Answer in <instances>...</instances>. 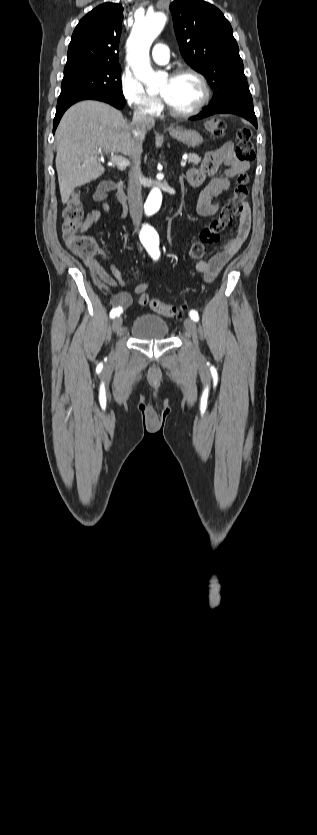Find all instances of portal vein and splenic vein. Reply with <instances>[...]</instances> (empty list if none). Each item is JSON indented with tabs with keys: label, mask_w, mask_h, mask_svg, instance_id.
Masks as SVG:
<instances>
[{
	"label": "portal vein and splenic vein",
	"mask_w": 317,
	"mask_h": 835,
	"mask_svg": "<svg viewBox=\"0 0 317 835\" xmlns=\"http://www.w3.org/2000/svg\"><path fill=\"white\" fill-rule=\"evenodd\" d=\"M110 160H111L112 163H114L117 166L122 167V168L127 167L130 164L129 160H127L126 158H124L122 156L114 155V154H111ZM181 167L182 168L186 167V161L181 162Z\"/></svg>",
	"instance_id": "18ae733b"
}]
</instances>
